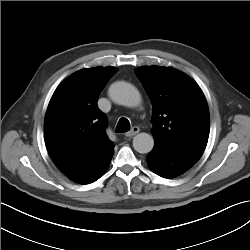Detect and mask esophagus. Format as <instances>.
<instances>
[{
    "mask_svg": "<svg viewBox=\"0 0 250 250\" xmlns=\"http://www.w3.org/2000/svg\"><path fill=\"white\" fill-rule=\"evenodd\" d=\"M140 131L139 127L135 126L133 127L130 131H128L125 136L126 137H133L135 136L136 134H138Z\"/></svg>",
    "mask_w": 250,
    "mask_h": 250,
    "instance_id": "obj_1",
    "label": "esophagus"
}]
</instances>
